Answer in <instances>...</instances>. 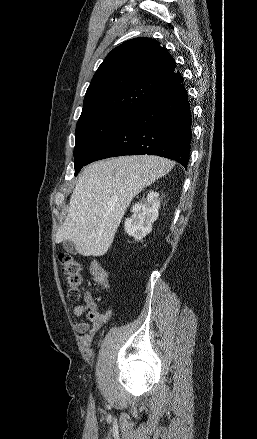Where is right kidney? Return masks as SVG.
I'll use <instances>...</instances> for the list:
<instances>
[{
  "mask_svg": "<svg viewBox=\"0 0 257 439\" xmlns=\"http://www.w3.org/2000/svg\"><path fill=\"white\" fill-rule=\"evenodd\" d=\"M160 207L159 194L150 191L144 202H138L132 207V215L125 220L124 228L129 236L142 240L152 231V224L158 217Z\"/></svg>",
  "mask_w": 257,
  "mask_h": 439,
  "instance_id": "right-kidney-1",
  "label": "right kidney"
}]
</instances>
